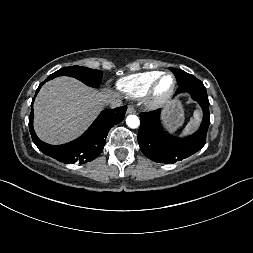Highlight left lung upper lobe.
<instances>
[{"mask_svg":"<svg viewBox=\"0 0 253 253\" xmlns=\"http://www.w3.org/2000/svg\"><path fill=\"white\" fill-rule=\"evenodd\" d=\"M170 70L174 73V75L177 79L178 85L190 83V81H192L194 78H196L195 76H193L183 70H178V69H174V68H170Z\"/></svg>","mask_w":253,"mask_h":253,"instance_id":"5c2ea615","label":"left lung upper lobe"}]
</instances>
